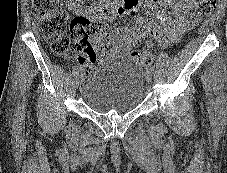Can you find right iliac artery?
Listing matches in <instances>:
<instances>
[{
	"label": "right iliac artery",
	"mask_w": 227,
	"mask_h": 173,
	"mask_svg": "<svg viewBox=\"0 0 227 173\" xmlns=\"http://www.w3.org/2000/svg\"><path fill=\"white\" fill-rule=\"evenodd\" d=\"M80 69H81V66L77 65V66L73 69V75L79 74Z\"/></svg>",
	"instance_id": "1"
}]
</instances>
